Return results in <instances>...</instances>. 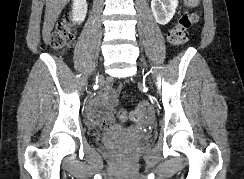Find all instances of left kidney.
<instances>
[{"label": "left kidney", "instance_id": "obj_1", "mask_svg": "<svg viewBox=\"0 0 244 179\" xmlns=\"http://www.w3.org/2000/svg\"><path fill=\"white\" fill-rule=\"evenodd\" d=\"M177 6L178 0H152L151 8L156 22L161 24V26L169 24L176 12Z\"/></svg>", "mask_w": 244, "mask_h": 179}]
</instances>
